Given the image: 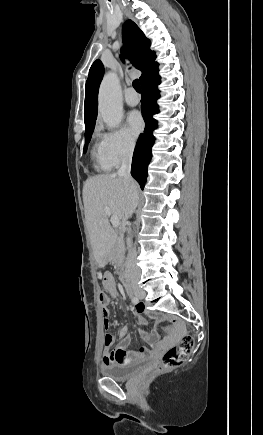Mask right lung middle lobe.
I'll return each mask as SVG.
<instances>
[{
  "instance_id": "right-lung-middle-lobe-1",
  "label": "right lung middle lobe",
  "mask_w": 263,
  "mask_h": 435,
  "mask_svg": "<svg viewBox=\"0 0 263 435\" xmlns=\"http://www.w3.org/2000/svg\"><path fill=\"white\" fill-rule=\"evenodd\" d=\"M93 130H94V127L91 129L85 130V148L87 147L88 143L90 142Z\"/></svg>"
}]
</instances>
